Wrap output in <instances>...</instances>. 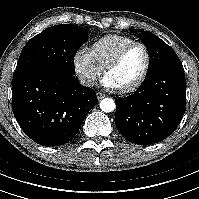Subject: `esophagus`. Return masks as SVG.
<instances>
[{
  "label": "esophagus",
  "instance_id": "obj_1",
  "mask_svg": "<svg viewBox=\"0 0 199 199\" xmlns=\"http://www.w3.org/2000/svg\"><path fill=\"white\" fill-rule=\"evenodd\" d=\"M96 96H97V99H98V100H101V99H103V98L105 97V95L102 94L101 92H97V93H96Z\"/></svg>",
  "mask_w": 199,
  "mask_h": 199
}]
</instances>
